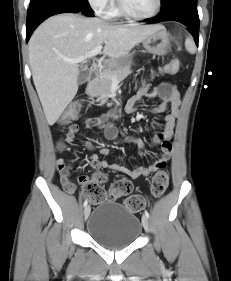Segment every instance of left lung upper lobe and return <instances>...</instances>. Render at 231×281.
Instances as JSON below:
<instances>
[{
	"instance_id": "1",
	"label": "left lung upper lobe",
	"mask_w": 231,
	"mask_h": 281,
	"mask_svg": "<svg viewBox=\"0 0 231 281\" xmlns=\"http://www.w3.org/2000/svg\"><path fill=\"white\" fill-rule=\"evenodd\" d=\"M169 0H162V4L168 2Z\"/></svg>"
}]
</instances>
